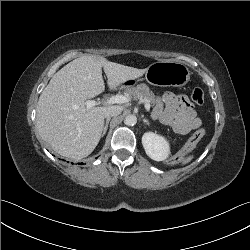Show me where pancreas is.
Wrapping results in <instances>:
<instances>
[{
  "label": "pancreas",
  "instance_id": "1",
  "mask_svg": "<svg viewBox=\"0 0 250 250\" xmlns=\"http://www.w3.org/2000/svg\"><path fill=\"white\" fill-rule=\"evenodd\" d=\"M124 93L126 96H129L134 100L143 99L149 101L151 104H155L157 101L154 93L144 83L135 87L127 88Z\"/></svg>",
  "mask_w": 250,
  "mask_h": 250
}]
</instances>
